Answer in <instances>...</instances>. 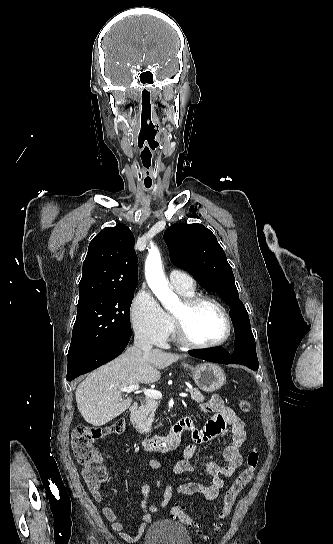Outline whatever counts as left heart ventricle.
Returning a JSON list of instances; mask_svg holds the SVG:
<instances>
[{"mask_svg": "<svg viewBox=\"0 0 333 544\" xmlns=\"http://www.w3.org/2000/svg\"><path fill=\"white\" fill-rule=\"evenodd\" d=\"M174 314L183 317L190 336L196 342L212 343L220 340L226 332L224 316L212 303H204L190 314L185 313L180 304Z\"/></svg>", "mask_w": 333, "mask_h": 544, "instance_id": "left-heart-ventricle-1", "label": "left heart ventricle"}]
</instances>
